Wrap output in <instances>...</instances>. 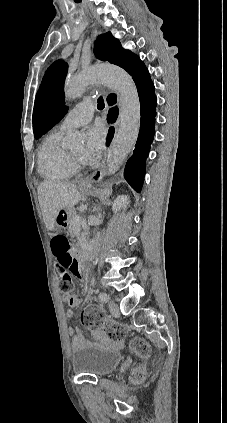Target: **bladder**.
<instances>
[{
	"mask_svg": "<svg viewBox=\"0 0 227 423\" xmlns=\"http://www.w3.org/2000/svg\"><path fill=\"white\" fill-rule=\"evenodd\" d=\"M120 352L88 343L72 355V370L96 378H106L122 364Z\"/></svg>",
	"mask_w": 227,
	"mask_h": 423,
	"instance_id": "1",
	"label": "bladder"
}]
</instances>
